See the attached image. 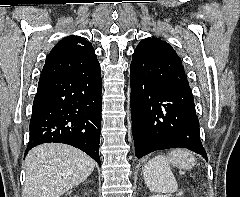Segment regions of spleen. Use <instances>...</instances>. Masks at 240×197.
<instances>
[{
  "instance_id": "3e777b00",
  "label": "spleen",
  "mask_w": 240,
  "mask_h": 197,
  "mask_svg": "<svg viewBox=\"0 0 240 197\" xmlns=\"http://www.w3.org/2000/svg\"><path fill=\"white\" fill-rule=\"evenodd\" d=\"M193 160V155L185 150H172L168 155H158L148 161L144 167V178L148 188L153 192L173 193L178 184L171 171L170 163Z\"/></svg>"
}]
</instances>
